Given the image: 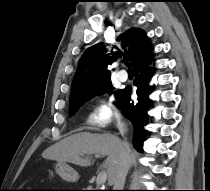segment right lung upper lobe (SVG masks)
Segmentation results:
<instances>
[{"mask_svg":"<svg viewBox=\"0 0 210 191\" xmlns=\"http://www.w3.org/2000/svg\"><path fill=\"white\" fill-rule=\"evenodd\" d=\"M117 51L107 54L103 43L88 48L82 55L75 73L70 100L86 94L111 81V65L117 58L129 57L131 65L148 45L146 34L140 29L132 28L117 37ZM111 55V56H110Z\"/></svg>","mask_w":210,"mask_h":191,"instance_id":"1","label":"right lung upper lobe"}]
</instances>
